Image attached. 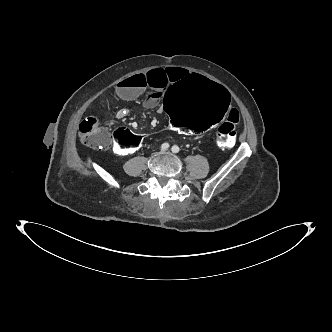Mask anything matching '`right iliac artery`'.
Listing matches in <instances>:
<instances>
[{
	"label": "right iliac artery",
	"instance_id": "obj_1",
	"mask_svg": "<svg viewBox=\"0 0 332 332\" xmlns=\"http://www.w3.org/2000/svg\"><path fill=\"white\" fill-rule=\"evenodd\" d=\"M169 144L168 143H163L162 145H161V149L162 150H167L168 148H169Z\"/></svg>",
	"mask_w": 332,
	"mask_h": 332
}]
</instances>
